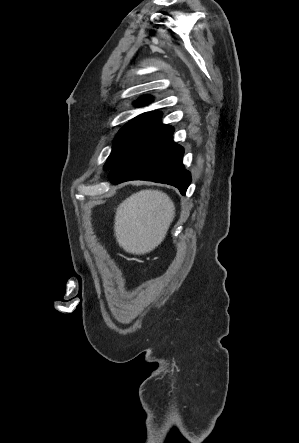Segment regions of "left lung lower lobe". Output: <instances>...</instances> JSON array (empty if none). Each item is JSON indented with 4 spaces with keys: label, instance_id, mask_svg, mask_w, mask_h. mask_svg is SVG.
I'll return each instance as SVG.
<instances>
[{
    "label": "left lung lower lobe",
    "instance_id": "left-lung-lower-lobe-1",
    "mask_svg": "<svg viewBox=\"0 0 299 443\" xmlns=\"http://www.w3.org/2000/svg\"><path fill=\"white\" fill-rule=\"evenodd\" d=\"M174 129L157 121L110 169L113 184L128 180H149L173 185L182 195L191 176L182 164L183 147L172 140Z\"/></svg>",
    "mask_w": 299,
    "mask_h": 443
}]
</instances>
